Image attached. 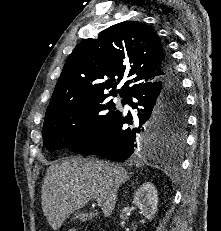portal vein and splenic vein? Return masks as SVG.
Wrapping results in <instances>:
<instances>
[{
    "mask_svg": "<svg viewBox=\"0 0 221 231\" xmlns=\"http://www.w3.org/2000/svg\"><path fill=\"white\" fill-rule=\"evenodd\" d=\"M96 202H97L98 205H101L103 201H102L101 198H96Z\"/></svg>",
    "mask_w": 221,
    "mask_h": 231,
    "instance_id": "portal-vein-and-splenic-vein-1",
    "label": "portal vein and splenic vein"
}]
</instances>
